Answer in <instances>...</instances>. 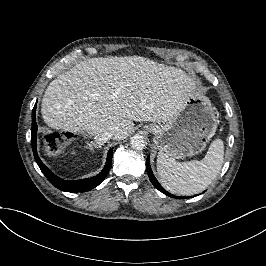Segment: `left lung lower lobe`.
<instances>
[{
    "instance_id": "0a47b994",
    "label": "left lung lower lobe",
    "mask_w": 266,
    "mask_h": 266,
    "mask_svg": "<svg viewBox=\"0 0 266 266\" xmlns=\"http://www.w3.org/2000/svg\"><path fill=\"white\" fill-rule=\"evenodd\" d=\"M146 170H147V173H148V176L152 182V184L159 190L161 191L162 193L166 194L167 196L169 197H172V198H176V199H179L181 197H177L175 195H172L170 194L169 192H167L166 190H164L161 185L159 184V182L156 180L152 170H151V167H150V163H149V157L147 158V162H146Z\"/></svg>"
}]
</instances>
